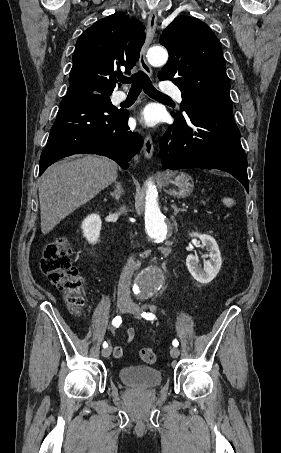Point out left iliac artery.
<instances>
[{
	"label": "left iliac artery",
	"mask_w": 281,
	"mask_h": 453,
	"mask_svg": "<svg viewBox=\"0 0 281 453\" xmlns=\"http://www.w3.org/2000/svg\"><path fill=\"white\" fill-rule=\"evenodd\" d=\"M141 315H142V317H144L147 320L155 319V315L152 314V313L143 312ZM172 344H173L174 347H177L179 345V342L175 339Z\"/></svg>",
	"instance_id": "obj_1"
}]
</instances>
